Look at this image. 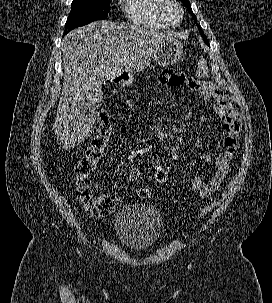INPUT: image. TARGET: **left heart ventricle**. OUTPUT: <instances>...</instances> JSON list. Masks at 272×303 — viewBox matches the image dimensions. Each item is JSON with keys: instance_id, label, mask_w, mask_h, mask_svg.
<instances>
[{"instance_id": "b2bd125f", "label": "left heart ventricle", "mask_w": 272, "mask_h": 303, "mask_svg": "<svg viewBox=\"0 0 272 303\" xmlns=\"http://www.w3.org/2000/svg\"><path fill=\"white\" fill-rule=\"evenodd\" d=\"M167 14H168L169 19H170L172 22L178 21V19H179V13H178V11H177L176 8L170 7V8L168 9Z\"/></svg>"}]
</instances>
